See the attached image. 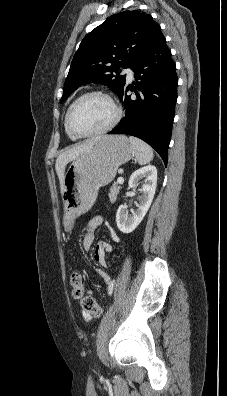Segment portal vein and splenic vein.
I'll use <instances>...</instances> for the list:
<instances>
[{"label": "portal vein and splenic vein", "instance_id": "obj_1", "mask_svg": "<svg viewBox=\"0 0 227 396\" xmlns=\"http://www.w3.org/2000/svg\"><path fill=\"white\" fill-rule=\"evenodd\" d=\"M117 182H118L119 184H122V183L124 182L123 177H119V178L117 179Z\"/></svg>", "mask_w": 227, "mask_h": 396}]
</instances>
